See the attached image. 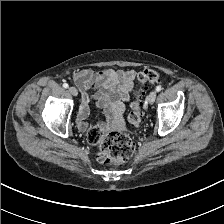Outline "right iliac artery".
Instances as JSON below:
<instances>
[{
  "instance_id": "obj_1",
  "label": "right iliac artery",
  "mask_w": 224,
  "mask_h": 224,
  "mask_svg": "<svg viewBox=\"0 0 224 224\" xmlns=\"http://www.w3.org/2000/svg\"><path fill=\"white\" fill-rule=\"evenodd\" d=\"M63 87H64V88H68L69 85H68L67 83H64V84H63Z\"/></svg>"
}]
</instances>
